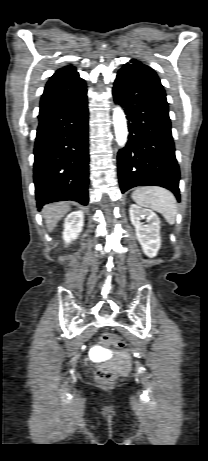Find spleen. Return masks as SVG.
<instances>
[{
	"mask_svg": "<svg viewBox=\"0 0 208 461\" xmlns=\"http://www.w3.org/2000/svg\"><path fill=\"white\" fill-rule=\"evenodd\" d=\"M132 199L140 206L161 213L170 225L175 224L177 202L169 190L157 186L140 187L132 193Z\"/></svg>",
	"mask_w": 208,
	"mask_h": 461,
	"instance_id": "3e777b00",
	"label": "spleen"
}]
</instances>
